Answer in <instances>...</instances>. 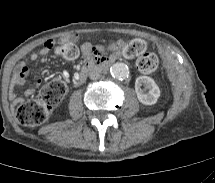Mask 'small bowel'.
<instances>
[{"label":"small bowel","instance_id":"small-bowel-1","mask_svg":"<svg viewBox=\"0 0 215 183\" xmlns=\"http://www.w3.org/2000/svg\"><path fill=\"white\" fill-rule=\"evenodd\" d=\"M52 42L51 41H46L43 43L42 47L35 51L34 53H32L28 59H27V62H22L16 69L15 71V74H14V77H13V85H16V86H23L26 82V79L29 75V72H30V69H29V66H28V63L30 62H34L40 58H42L43 56H45L46 54H48V52L50 51L51 47H52ZM91 44L89 43H85L83 46H82V51H83V54L84 56H90L92 54H95L91 51ZM97 47V46H96ZM98 48V51L100 52V48ZM98 52V53H99ZM96 53V54H98ZM39 80L37 81V84H39ZM33 93V89L32 88H29L25 91V95L26 96H30L32 95ZM10 99L11 101L13 102V104H19L22 102V99L17 97V95L11 91L10 92Z\"/></svg>","mask_w":215,"mask_h":183}]
</instances>
